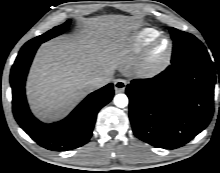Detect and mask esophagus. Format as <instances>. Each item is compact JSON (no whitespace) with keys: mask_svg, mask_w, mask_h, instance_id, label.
<instances>
[{"mask_svg":"<svg viewBox=\"0 0 220 173\" xmlns=\"http://www.w3.org/2000/svg\"><path fill=\"white\" fill-rule=\"evenodd\" d=\"M126 85H127V82L126 80H123V79H117L115 82H114V90L116 93H122L125 91L126 89Z\"/></svg>","mask_w":220,"mask_h":173,"instance_id":"1","label":"esophagus"}]
</instances>
